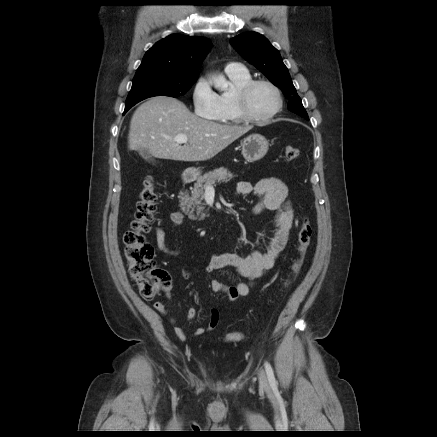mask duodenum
Returning <instances> with one entry per match:
<instances>
[{
	"mask_svg": "<svg viewBox=\"0 0 437 437\" xmlns=\"http://www.w3.org/2000/svg\"><path fill=\"white\" fill-rule=\"evenodd\" d=\"M194 177H195L194 172L191 171V170H188V171H185L183 173L182 181H183V183H189V182H191L194 179Z\"/></svg>",
	"mask_w": 437,
	"mask_h": 437,
	"instance_id": "duodenum-1",
	"label": "duodenum"
}]
</instances>
